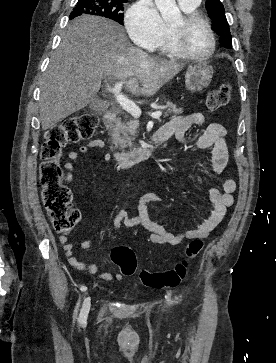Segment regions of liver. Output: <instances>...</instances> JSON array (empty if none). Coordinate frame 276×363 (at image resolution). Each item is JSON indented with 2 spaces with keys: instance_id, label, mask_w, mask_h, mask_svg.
Listing matches in <instances>:
<instances>
[{
  "instance_id": "6515ba94",
  "label": "liver",
  "mask_w": 276,
  "mask_h": 363,
  "mask_svg": "<svg viewBox=\"0 0 276 363\" xmlns=\"http://www.w3.org/2000/svg\"><path fill=\"white\" fill-rule=\"evenodd\" d=\"M183 67L133 47L119 24L82 15L67 25L43 75L42 129L85 108L97 95L102 79L124 81L131 93L150 97Z\"/></svg>"
}]
</instances>
